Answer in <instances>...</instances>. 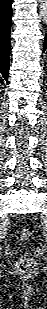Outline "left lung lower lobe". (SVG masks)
Masks as SVG:
<instances>
[{
    "mask_svg": "<svg viewBox=\"0 0 47 309\" xmlns=\"http://www.w3.org/2000/svg\"><path fill=\"white\" fill-rule=\"evenodd\" d=\"M47 49V34L44 41L43 52Z\"/></svg>",
    "mask_w": 47,
    "mask_h": 309,
    "instance_id": "obj_1",
    "label": "left lung lower lobe"
}]
</instances>
